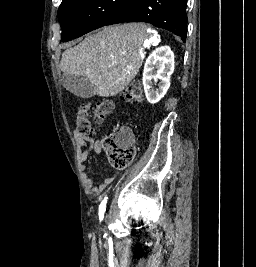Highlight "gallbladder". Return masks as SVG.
<instances>
[{
	"label": "gallbladder",
	"instance_id": "gallbladder-1",
	"mask_svg": "<svg viewBox=\"0 0 256 267\" xmlns=\"http://www.w3.org/2000/svg\"><path fill=\"white\" fill-rule=\"evenodd\" d=\"M60 82L68 92L77 98H92L94 96L93 84L89 80H82V78L72 76V74H63Z\"/></svg>",
	"mask_w": 256,
	"mask_h": 267
}]
</instances>
